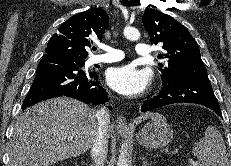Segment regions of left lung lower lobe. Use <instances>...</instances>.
Returning <instances> with one entry per match:
<instances>
[{
    "instance_id": "0a47b994",
    "label": "left lung lower lobe",
    "mask_w": 231,
    "mask_h": 166,
    "mask_svg": "<svg viewBox=\"0 0 231 166\" xmlns=\"http://www.w3.org/2000/svg\"><path fill=\"white\" fill-rule=\"evenodd\" d=\"M160 93L143 103L142 112H147L174 103H195L212 109L222 117L219 103L209 79L178 78L162 83Z\"/></svg>"
}]
</instances>
